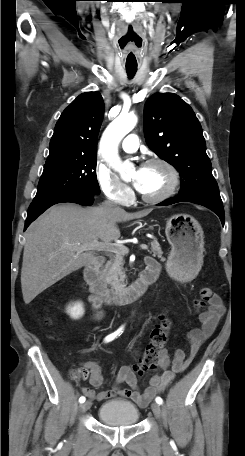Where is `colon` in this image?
<instances>
[{"mask_svg":"<svg viewBox=\"0 0 245 456\" xmlns=\"http://www.w3.org/2000/svg\"><path fill=\"white\" fill-rule=\"evenodd\" d=\"M170 320L163 316L158 323H156L151 331L150 340L146 345L144 355L137 365L134 366V371L138 375H143L149 371H152L160 363L165 345L168 339V333L170 330ZM85 371H78L74 377L84 376Z\"/></svg>","mask_w":245,"mask_h":456,"instance_id":"colon-1","label":"colon"}]
</instances>
